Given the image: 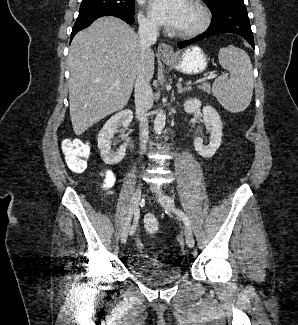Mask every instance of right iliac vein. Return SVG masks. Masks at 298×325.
<instances>
[{"instance_id": "right-iliac-vein-1", "label": "right iliac vein", "mask_w": 298, "mask_h": 325, "mask_svg": "<svg viewBox=\"0 0 298 325\" xmlns=\"http://www.w3.org/2000/svg\"><path fill=\"white\" fill-rule=\"evenodd\" d=\"M141 191H142V187H141V184H139L138 187L136 188L135 192L132 195L129 212L126 217L125 223L122 227L120 237H121V243H123V244L126 243L133 214H134L135 210L138 209L139 202L141 200Z\"/></svg>"}]
</instances>
